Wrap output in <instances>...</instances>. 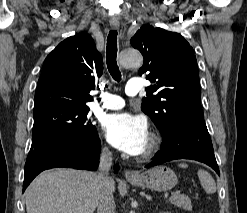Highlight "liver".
Instances as JSON below:
<instances>
[{
    "instance_id": "obj_1",
    "label": "liver",
    "mask_w": 247,
    "mask_h": 213,
    "mask_svg": "<svg viewBox=\"0 0 247 213\" xmlns=\"http://www.w3.org/2000/svg\"><path fill=\"white\" fill-rule=\"evenodd\" d=\"M97 173L57 168L38 175L25 191L27 213H94L98 206ZM111 191H115L112 179Z\"/></svg>"
}]
</instances>
